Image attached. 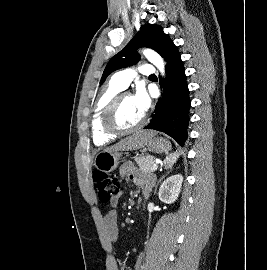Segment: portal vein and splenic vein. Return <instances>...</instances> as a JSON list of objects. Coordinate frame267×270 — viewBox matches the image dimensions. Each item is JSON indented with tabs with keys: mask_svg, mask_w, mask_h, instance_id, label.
<instances>
[{
	"mask_svg": "<svg viewBox=\"0 0 267 270\" xmlns=\"http://www.w3.org/2000/svg\"><path fill=\"white\" fill-rule=\"evenodd\" d=\"M157 168H158V162H156V163H155V165H154V168H153V169H154V170H156Z\"/></svg>",
	"mask_w": 267,
	"mask_h": 270,
	"instance_id": "obj_1",
	"label": "portal vein and splenic vein"
}]
</instances>
